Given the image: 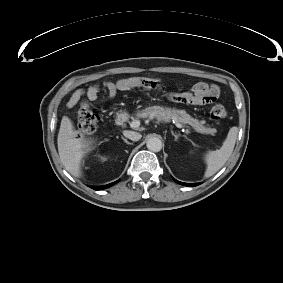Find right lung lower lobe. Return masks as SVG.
Here are the masks:
<instances>
[{
  "label": "right lung lower lobe",
  "mask_w": 283,
  "mask_h": 283,
  "mask_svg": "<svg viewBox=\"0 0 283 283\" xmlns=\"http://www.w3.org/2000/svg\"><path fill=\"white\" fill-rule=\"evenodd\" d=\"M117 182H118V181L113 182V183H110V184H107V185H104V186H89V187H91V188L94 189V190H103V189H105V188H108V187L112 186L113 184H115V183H117Z\"/></svg>",
  "instance_id": "obj_1"
}]
</instances>
